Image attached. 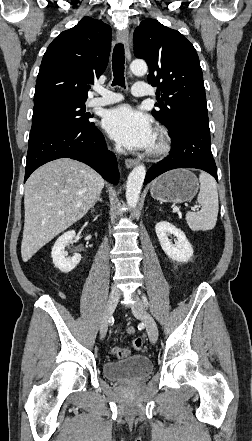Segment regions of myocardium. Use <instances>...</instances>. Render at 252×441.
<instances>
[{
	"mask_svg": "<svg viewBox=\"0 0 252 441\" xmlns=\"http://www.w3.org/2000/svg\"><path fill=\"white\" fill-rule=\"evenodd\" d=\"M170 150V140L167 132L160 128L155 134V143L150 149V154L155 157L165 155Z\"/></svg>",
	"mask_w": 252,
	"mask_h": 441,
	"instance_id": "myocardium-1",
	"label": "myocardium"
}]
</instances>
